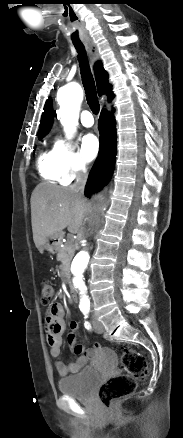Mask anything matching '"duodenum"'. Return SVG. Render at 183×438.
<instances>
[{"label":"duodenum","mask_w":183,"mask_h":438,"mask_svg":"<svg viewBox=\"0 0 183 438\" xmlns=\"http://www.w3.org/2000/svg\"><path fill=\"white\" fill-rule=\"evenodd\" d=\"M69 295L71 300L76 301L77 300V293L74 288H69Z\"/></svg>","instance_id":"duodenum-1"}]
</instances>
